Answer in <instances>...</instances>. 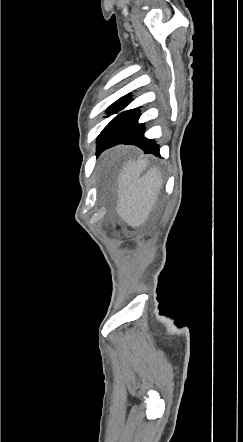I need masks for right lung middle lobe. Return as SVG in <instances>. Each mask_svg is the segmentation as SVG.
Returning a JSON list of instances; mask_svg holds the SVG:
<instances>
[{
  "label": "right lung middle lobe",
  "mask_w": 243,
  "mask_h": 442,
  "mask_svg": "<svg viewBox=\"0 0 243 442\" xmlns=\"http://www.w3.org/2000/svg\"><path fill=\"white\" fill-rule=\"evenodd\" d=\"M124 98H120L119 100H117L115 103H113L111 106H110V109L107 111V113H111L113 110H114V108L123 100Z\"/></svg>",
  "instance_id": "obj_1"
}]
</instances>
